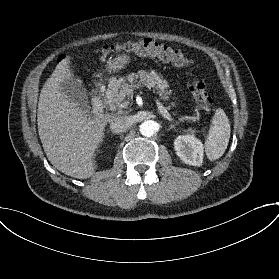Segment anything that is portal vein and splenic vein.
Returning <instances> with one entry per match:
<instances>
[{
    "mask_svg": "<svg viewBox=\"0 0 279 279\" xmlns=\"http://www.w3.org/2000/svg\"><path fill=\"white\" fill-rule=\"evenodd\" d=\"M157 105H158V109L160 111V113L166 118L168 119L169 121H172V118L170 117V115L168 114L166 108L161 105L159 102H157Z\"/></svg>",
    "mask_w": 279,
    "mask_h": 279,
    "instance_id": "portal-vein-and-splenic-vein-1",
    "label": "portal vein and splenic vein"
}]
</instances>
